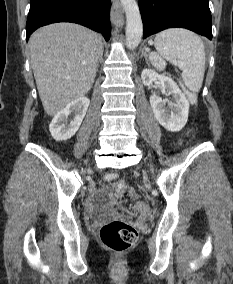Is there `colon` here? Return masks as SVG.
Returning a JSON list of instances; mask_svg holds the SVG:
<instances>
[{
  "mask_svg": "<svg viewBox=\"0 0 233 284\" xmlns=\"http://www.w3.org/2000/svg\"><path fill=\"white\" fill-rule=\"evenodd\" d=\"M151 64L157 69H164L166 67V61L158 53L152 52L149 55ZM182 89L189 101L192 104L197 103V95L182 86ZM105 180L112 183L116 189V192L120 196H124L127 191L126 183L119 178V176L110 172L105 175ZM134 210L141 216L146 217L149 214V207L144 201H137L134 204ZM138 232L132 225L123 221H111L104 224L100 229V239L102 243L110 250L123 253L130 249L137 241Z\"/></svg>",
  "mask_w": 233,
  "mask_h": 284,
  "instance_id": "colon-1",
  "label": "colon"
}]
</instances>
